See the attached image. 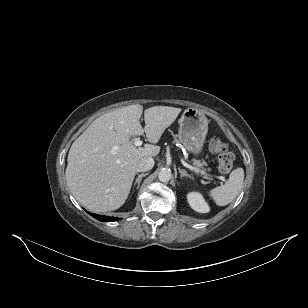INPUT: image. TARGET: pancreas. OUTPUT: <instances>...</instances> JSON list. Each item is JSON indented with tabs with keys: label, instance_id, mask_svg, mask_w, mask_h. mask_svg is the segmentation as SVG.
<instances>
[{
	"label": "pancreas",
	"instance_id": "1",
	"mask_svg": "<svg viewBox=\"0 0 308 308\" xmlns=\"http://www.w3.org/2000/svg\"><path fill=\"white\" fill-rule=\"evenodd\" d=\"M174 142H178V140L175 139ZM193 165L197 168L203 169V166H206L207 163L204 160H193Z\"/></svg>",
	"mask_w": 308,
	"mask_h": 308
}]
</instances>
